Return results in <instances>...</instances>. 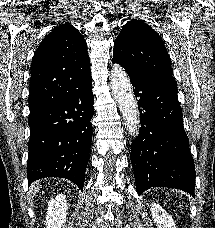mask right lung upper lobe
Segmentation results:
<instances>
[{"instance_id":"1","label":"right lung upper lobe","mask_w":215,"mask_h":228,"mask_svg":"<svg viewBox=\"0 0 215 228\" xmlns=\"http://www.w3.org/2000/svg\"><path fill=\"white\" fill-rule=\"evenodd\" d=\"M91 75L87 44L70 24L50 32L36 50L32 65L29 118L63 100L69 84Z\"/></svg>"}]
</instances>
